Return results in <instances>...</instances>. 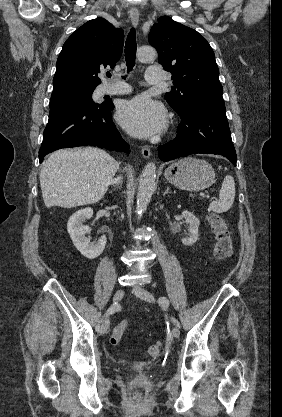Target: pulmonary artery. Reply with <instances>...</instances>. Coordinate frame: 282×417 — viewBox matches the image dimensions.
Segmentation results:
<instances>
[{
  "instance_id": "e3ab8cb5",
  "label": "pulmonary artery",
  "mask_w": 282,
  "mask_h": 417,
  "mask_svg": "<svg viewBox=\"0 0 282 417\" xmlns=\"http://www.w3.org/2000/svg\"><path fill=\"white\" fill-rule=\"evenodd\" d=\"M149 74L146 73V83H163L164 75L161 73L160 65H149L147 68ZM131 91L130 86L124 84L123 86H108L105 88L106 94H126Z\"/></svg>"
}]
</instances>
